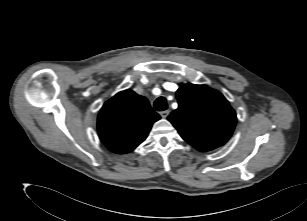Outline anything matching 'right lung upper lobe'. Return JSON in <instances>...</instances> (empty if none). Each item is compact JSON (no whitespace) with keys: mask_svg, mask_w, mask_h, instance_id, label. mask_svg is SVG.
<instances>
[{"mask_svg":"<svg viewBox=\"0 0 307 221\" xmlns=\"http://www.w3.org/2000/svg\"><path fill=\"white\" fill-rule=\"evenodd\" d=\"M159 119L145 97L127 89L103 105L98 115V134L112 152L125 154L146 139Z\"/></svg>","mask_w":307,"mask_h":221,"instance_id":"right-lung-upper-lobe-1","label":"right lung upper lobe"}]
</instances>
